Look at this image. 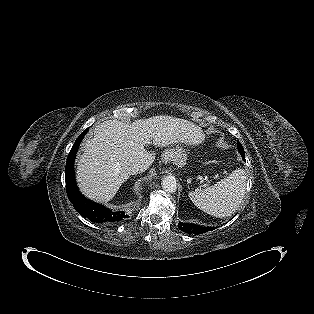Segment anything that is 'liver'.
I'll return each mask as SVG.
<instances>
[{"label":"liver","mask_w":314,"mask_h":314,"mask_svg":"<svg viewBox=\"0 0 314 314\" xmlns=\"http://www.w3.org/2000/svg\"><path fill=\"white\" fill-rule=\"evenodd\" d=\"M93 138L85 140L77 163L80 190L97 202L110 201L129 178L126 169L140 164L147 170L155 159L145 146L166 147L176 143L198 144L202 133L198 126L172 116H154L132 124L107 120L94 129Z\"/></svg>","instance_id":"obj_1"}]
</instances>
